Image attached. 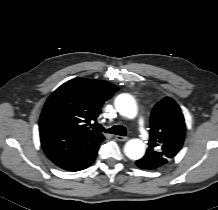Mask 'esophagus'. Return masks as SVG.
<instances>
[{"mask_svg": "<svg viewBox=\"0 0 218 210\" xmlns=\"http://www.w3.org/2000/svg\"><path fill=\"white\" fill-rule=\"evenodd\" d=\"M115 139L118 141H127L129 138L128 137H124V136H120V135H116Z\"/></svg>", "mask_w": 218, "mask_h": 210, "instance_id": "obj_1", "label": "esophagus"}]
</instances>
